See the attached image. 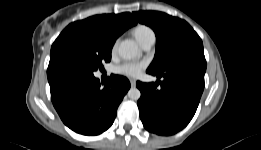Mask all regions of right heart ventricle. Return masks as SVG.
Here are the masks:
<instances>
[{
  "label": "right heart ventricle",
  "mask_w": 261,
  "mask_h": 150,
  "mask_svg": "<svg viewBox=\"0 0 261 150\" xmlns=\"http://www.w3.org/2000/svg\"><path fill=\"white\" fill-rule=\"evenodd\" d=\"M150 33H153L152 29L145 25H138L133 30V35L139 43H141L144 40V38Z\"/></svg>",
  "instance_id": "right-heart-ventricle-1"
}]
</instances>
